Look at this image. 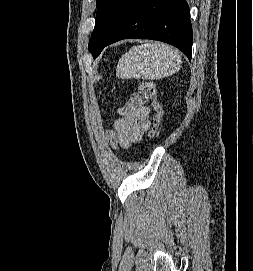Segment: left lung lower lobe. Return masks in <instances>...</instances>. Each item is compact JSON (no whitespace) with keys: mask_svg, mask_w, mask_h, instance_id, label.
<instances>
[{"mask_svg":"<svg viewBox=\"0 0 253 271\" xmlns=\"http://www.w3.org/2000/svg\"><path fill=\"white\" fill-rule=\"evenodd\" d=\"M125 38L162 41L177 47L191 60L192 26L187 2L130 0L126 13L101 51L105 46Z\"/></svg>","mask_w":253,"mask_h":271,"instance_id":"left-lung-lower-lobe-1","label":"left lung lower lobe"}]
</instances>
